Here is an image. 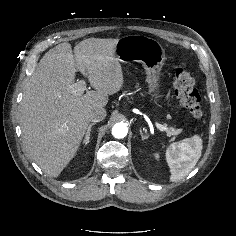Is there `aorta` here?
Returning a JSON list of instances; mask_svg holds the SVG:
<instances>
[{"mask_svg":"<svg viewBox=\"0 0 236 236\" xmlns=\"http://www.w3.org/2000/svg\"><path fill=\"white\" fill-rule=\"evenodd\" d=\"M128 133V127L124 123H116L112 128V135L117 139L124 138Z\"/></svg>","mask_w":236,"mask_h":236,"instance_id":"obj_1","label":"aorta"}]
</instances>
